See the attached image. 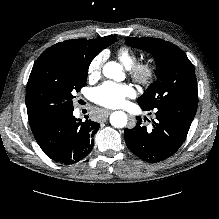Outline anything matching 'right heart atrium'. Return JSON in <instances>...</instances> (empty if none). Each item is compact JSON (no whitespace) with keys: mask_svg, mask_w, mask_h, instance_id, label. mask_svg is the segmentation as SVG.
<instances>
[{"mask_svg":"<svg viewBox=\"0 0 219 219\" xmlns=\"http://www.w3.org/2000/svg\"><path fill=\"white\" fill-rule=\"evenodd\" d=\"M104 56L102 54L96 56L88 67V75L90 79L98 78L101 74Z\"/></svg>","mask_w":219,"mask_h":219,"instance_id":"1","label":"right heart atrium"}]
</instances>
